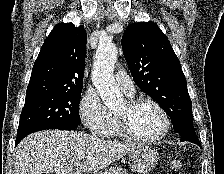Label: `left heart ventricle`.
Listing matches in <instances>:
<instances>
[{"instance_id": "obj_1", "label": "left heart ventricle", "mask_w": 224, "mask_h": 174, "mask_svg": "<svg viewBox=\"0 0 224 174\" xmlns=\"http://www.w3.org/2000/svg\"><path fill=\"white\" fill-rule=\"evenodd\" d=\"M115 114L124 117L132 131L143 137H154L164 127L161 114L150 104H141L129 111L124 103L116 110Z\"/></svg>"}]
</instances>
